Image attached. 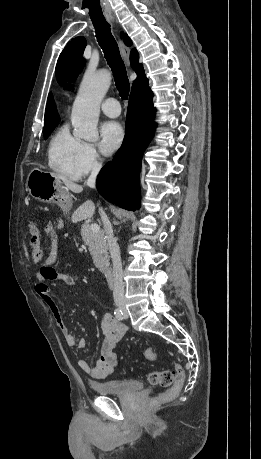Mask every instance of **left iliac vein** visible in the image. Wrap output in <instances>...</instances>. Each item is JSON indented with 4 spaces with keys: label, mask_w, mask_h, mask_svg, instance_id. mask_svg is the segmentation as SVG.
Segmentation results:
<instances>
[{
    "label": "left iliac vein",
    "mask_w": 261,
    "mask_h": 459,
    "mask_svg": "<svg viewBox=\"0 0 261 459\" xmlns=\"http://www.w3.org/2000/svg\"><path fill=\"white\" fill-rule=\"evenodd\" d=\"M123 315H124V318L127 319L129 317V314H128V311L126 308L123 307Z\"/></svg>",
    "instance_id": "left-iliac-vein-1"
}]
</instances>
